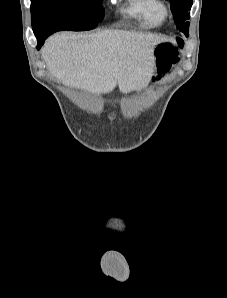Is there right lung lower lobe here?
Returning <instances> with one entry per match:
<instances>
[{"label":"right lung lower lobe","instance_id":"right-lung-lower-lobe-1","mask_svg":"<svg viewBox=\"0 0 227 298\" xmlns=\"http://www.w3.org/2000/svg\"><path fill=\"white\" fill-rule=\"evenodd\" d=\"M56 32V30H51L49 32L46 33H40V34H35L37 40H38V45H37V49H40L41 46L44 43V40L52 33Z\"/></svg>","mask_w":227,"mask_h":298}]
</instances>
